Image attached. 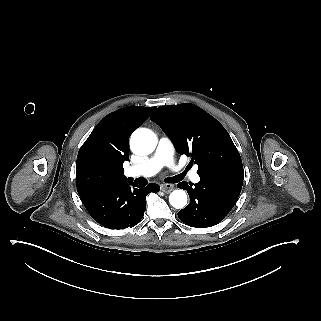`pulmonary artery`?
<instances>
[{
	"label": "pulmonary artery",
	"mask_w": 321,
	"mask_h": 321,
	"mask_svg": "<svg viewBox=\"0 0 321 321\" xmlns=\"http://www.w3.org/2000/svg\"><path fill=\"white\" fill-rule=\"evenodd\" d=\"M167 166L173 174L182 173L185 177L192 176V180L195 183L200 181V177L194 171V168L190 164L181 165L180 162L176 161L173 152V145L171 140L162 135L158 141L157 148L150 157H147L142 164V169L146 173H157L161 167ZM132 168L126 170V174L130 175Z\"/></svg>",
	"instance_id": "e3ab8cb5"
}]
</instances>
